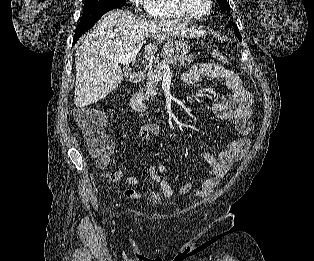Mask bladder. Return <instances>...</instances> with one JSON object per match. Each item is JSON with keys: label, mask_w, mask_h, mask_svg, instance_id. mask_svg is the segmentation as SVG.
Listing matches in <instances>:
<instances>
[{"label": "bladder", "mask_w": 314, "mask_h": 261, "mask_svg": "<svg viewBox=\"0 0 314 261\" xmlns=\"http://www.w3.org/2000/svg\"><path fill=\"white\" fill-rule=\"evenodd\" d=\"M150 200L153 202H157V199L155 197H151Z\"/></svg>", "instance_id": "1"}]
</instances>
